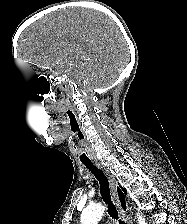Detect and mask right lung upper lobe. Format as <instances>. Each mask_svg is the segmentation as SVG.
Listing matches in <instances>:
<instances>
[{
	"mask_svg": "<svg viewBox=\"0 0 187 224\" xmlns=\"http://www.w3.org/2000/svg\"><path fill=\"white\" fill-rule=\"evenodd\" d=\"M118 194H119V198H120V201H121V204H122V207L124 209H126V204H125V197L123 195V193L121 192V190L118 188Z\"/></svg>",
	"mask_w": 187,
	"mask_h": 224,
	"instance_id": "right-lung-upper-lobe-1",
	"label": "right lung upper lobe"
}]
</instances>
